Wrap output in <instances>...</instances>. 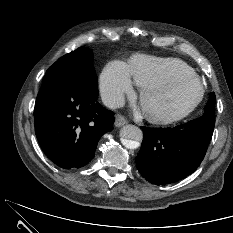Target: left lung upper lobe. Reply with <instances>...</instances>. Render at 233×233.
<instances>
[{
	"instance_id": "obj_1",
	"label": "left lung upper lobe",
	"mask_w": 233,
	"mask_h": 233,
	"mask_svg": "<svg viewBox=\"0 0 233 233\" xmlns=\"http://www.w3.org/2000/svg\"><path fill=\"white\" fill-rule=\"evenodd\" d=\"M215 94L210 93L209 94V101L207 105L205 106V111L202 116L203 119L210 120V121H215L214 119V113H215Z\"/></svg>"
}]
</instances>
